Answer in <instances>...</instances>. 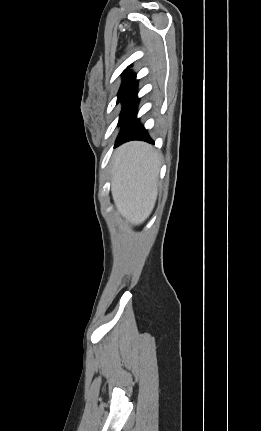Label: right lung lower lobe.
<instances>
[{
  "label": "right lung lower lobe",
  "mask_w": 261,
  "mask_h": 431,
  "mask_svg": "<svg viewBox=\"0 0 261 431\" xmlns=\"http://www.w3.org/2000/svg\"><path fill=\"white\" fill-rule=\"evenodd\" d=\"M136 87L137 81L133 83L127 94L123 97V109L119 119V125H122V129L117 137L116 146L129 140L152 142L147 131L136 118V108L139 102L135 92Z\"/></svg>",
  "instance_id": "1"
}]
</instances>
